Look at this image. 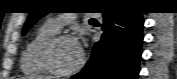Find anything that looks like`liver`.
<instances>
[{
  "instance_id": "obj_1",
  "label": "liver",
  "mask_w": 177,
  "mask_h": 79,
  "mask_svg": "<svg viewBox=\"0 0 177 79\" xmlns=\"http://www.w3.org/2000/svg\"><path fill=\"white\" fill-rule=\"evenodd\" d=\"M31 79H50V78L46 76H37V77H32Z\"/></svg>"
}]
</instances>
